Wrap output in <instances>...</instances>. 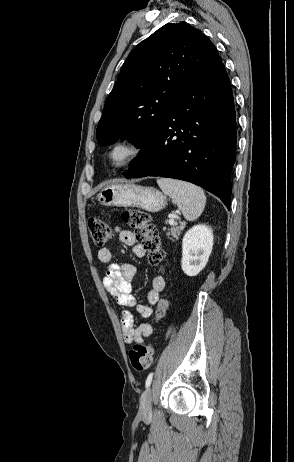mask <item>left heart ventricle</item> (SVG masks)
<instances>
[{
	"label": "left heart ventricle",
	"mask_w": 294,
	"mask_h": 462,
	"mask_svg": "<svg viewBox=\"0 0 294 462\" xmlns=\"http://www.w3.org/2000/svg\"><path fill=\"white\" fill-rule=\"evenodd\" d=\"M122 155H123V151H122V150H119V151L116 152L115 158L118 159V158H120Z\"/></svg>",
	"instance_id": "1"
}]
</instances>
